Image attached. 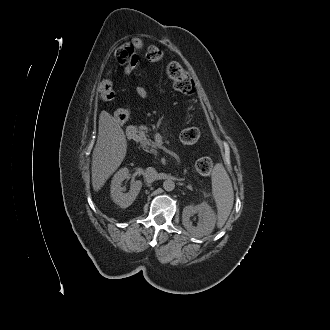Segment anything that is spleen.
<instances>
[{
    "mask_svg": "<svg viewBox=\"0 0 330 330\" xmlns=\"http://www.w3.org/2000/svg\"><path fill=\"white\" fill-rule=\"evenodd\" d=\"M212 192L217 207V227L226 223L234 202L232 183L223 164L217 163L212 171Z\"/></svg>",
    "mask_w": 330,
    "mask_h": 330,
    "instance_id": "3e777b00",
    "label": "spleen"
}]
</instances>
